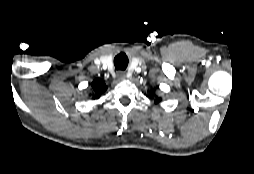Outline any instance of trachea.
<instances>
[{
	"mask_svg": "<svg viewBox=\"0 0 254 174\" xmlns=\"http://www.w3.org/2000/svg\"><path fill=\"white\" fill-rule=\"evenodd\" d=\"M116 69L125 70L128 64L127 56L123 53L117 55L114 59Z\"/></svg>",
	"mask_w": 254,
	"mask_h": 174,
	"instance_id": "trachea-1",
	"label": "trachea"
}]
</instances>
